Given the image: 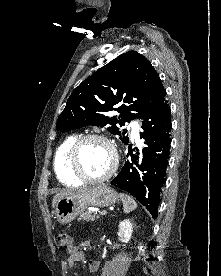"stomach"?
<instances>
[{
    "instance_id": "1",
    "label": "stomach",
    "mask_w": 221,
    "mask_h": 276,
    "mask_svg": "<svg viewBox=\"0 0 221 276\" xmlns=\"http://www.w3.org/2000/svg\"><path fill=\"white\" fill-rule=\"evenodd\" d=\"M118 199L119 196L113 188L99 185L61 198L56 204V217L59 223L66 224L89 206L107 207L115 204Z\"/></svg>"
}]
</instances>
